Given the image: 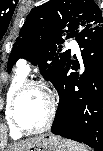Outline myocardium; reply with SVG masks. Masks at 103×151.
<instances>
[{
  "mask_svg": "<svg viewBox=\"0 0 103 151\" xmlns=\"http://www.w3.org/2000/svg\"><path fill=\"white\" fill-rule=\"evenodd\" d=\"M33 88L39 89L45 94L48 101V116H47L46 122L40 128L27 129L23 127L17 120L16 106H17V102L19 98L27 90L33 89ZM56 111H57V99L53 91L44 82L32 80V81L24 82L14 93L10 101V106H9V118L14 128L21 134H37V133L44 132L51 127L55 119Z\"/></svg>",
  "mask_w": 103,
  "mask_h": 151,
  "instance_id": "obj_1",
  "label": "myocardium"
}]
</instances>
